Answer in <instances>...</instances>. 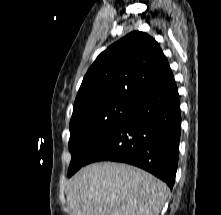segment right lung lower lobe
I'll list each match as a JSON object with an SVG mask.
<instances>
[{
	"label": "right lung lower lobe",
	"mask_w": 221,
	"mask_h": 215,
	"mask_svg": "<svg viewBox=\"0 0 221 215\" xmlns=\"http://www.w3.org/2000/svg\"><path fill=\"white\" fill-rule=\"evenodd\" d=\"M181 112L175 80L150 92L91 153L86 163L124 162L140 167L173 188L178 165Z\"/></svg>",
	"instance_id": "right-lung-lower-lobe-1"
}]
</instances>
